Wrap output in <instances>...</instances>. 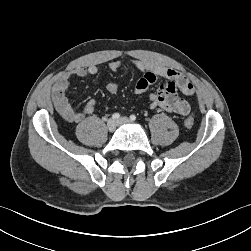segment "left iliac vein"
Segmentation results:
<instances>
[{
	"mask_svg": "<svg viewBox=\"0 0 251 251\" xmlns=\"http://www.w3.org/2000/svg\"><path fill=\"white\" fill-rule=\"evenodd\" d=\"M131 123V121L127 117H122L118 120V124H128Z\"/></svg>",
	"mask_w": 251,
	"mask_h": 251,
	"instance_id": "left-iliac-vein-1",
	"label": "left iliac vein"
}]
</instances>
